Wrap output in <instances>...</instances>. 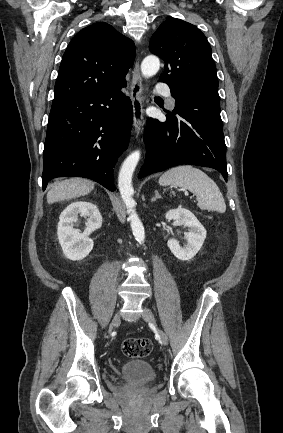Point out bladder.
<instances>
[{"mask_svg":"<svg viewBox=\"0 0 283 433\" xmlns=\"http://www.w3.org/2000/svg\"><path fill=\"white\" fill-rule=\"evenodd\" d=\"M120 376L123 380H139L144 384H151L157 377V371L152 364L141 360L121 365Z\"/></svg>","mask_w":283,"mask_h":433,"instance_id":"31cf9c89","label":"bladder"}]
</instances>
